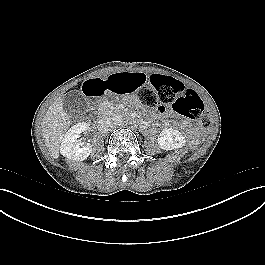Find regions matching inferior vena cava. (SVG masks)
I'll use <instances>...</instances> for the list:
<instances>
[{"mask_svg":"<svg viewBox=\"0 0 265 265\" xmlns=\"http://www.w3.org/2000/svg\"><path fill=\"white\" fill-rule=\"evenodd\" d=\"M112 127H113V123H112L111 118L102 117L98 120L97 128H98L99 132L107 133L108 131L111 130Z\"/></svg>","mask_w":265,"mask_h":265,"instance_id":"1","label":"inferior vena cava"}]
</instances>
